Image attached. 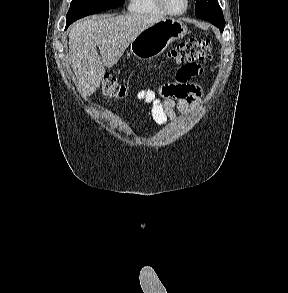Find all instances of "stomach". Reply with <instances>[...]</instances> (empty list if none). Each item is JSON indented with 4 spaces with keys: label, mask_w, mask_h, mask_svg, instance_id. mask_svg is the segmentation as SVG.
<instances>
[{
    "label": "stomach",
    "mask_w": 288,
    "mask_h": 293,
    "mask_svg": "<svg viewBox=\"0 0 288 293\" xmlns=\"http://www.w3.org/2000/svg\"><path fill=\"white\" fill-rule=\"evenodd\" d=\"M186 25L178 19L164 18L151 24L130 43L131 53L138 59H151L163 53L168 45L182 39Z\"/></svg>",
    "instance_id": "stomach-1"
}]
</instances>
